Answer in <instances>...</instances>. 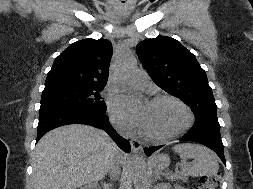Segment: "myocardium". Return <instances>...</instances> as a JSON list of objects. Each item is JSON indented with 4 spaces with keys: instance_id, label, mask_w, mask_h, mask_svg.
Returning a JSON list of instances; mask_svg holds the SVG:
<instances>
[{
    "instance_id": "f54148a6",
    "label": "myocardium",
    "mask_w": 253,
    "mask_h": 189,
    "mask_svg": "<svg viewBox=\"0 0 253 189\" xmlns=\"http://www.w3.org/2000/svg\"><path fill=\"white\" fill-rule=\"evenodd\" d=\"M160 101H169V102L174 103L175 105L179 106L185 114V120L183 124L179 128H177L175 131L167 135H155L143 130V135L147 139L152 140V141H157V142H165V141L174 139L180 136L181 134H183L184 132H186L192 126L194 122V115L191 109L188 107V105L175 96H172L169 94L156 95L151 99L150 103H157Z\"/></svg>"
}]
</instances>
